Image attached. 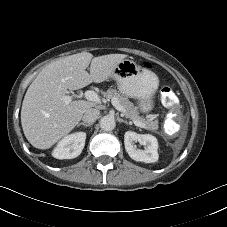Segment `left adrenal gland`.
<instances>
[{
  "label": "left adrenal gland",
  "mask_w": 227,
  "mask_h": 227,
  "mask_svg": "<svg viewBox=\"0 0 227 227\" xmlns=\"http://www.w3.org/2000/svg\"><path fill=\"white\" fill-rule=\"evenodd\" d=\"M118 121H119V122H123V123H125V124H128V122H127L126 120H123L122 118H119Z\"/></svg>",
  "instance_id": "1"
}]
</instances>
